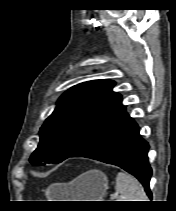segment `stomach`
Returning <instances> with one entry per match:
<instances>
[{"label":"stomach","instance_id":"1","mask_svg":"<svg viewBox=\"0 0 176 211\" xmlns=\"http://www.w3.org/2000/svg\"><path fill=\"white\" fill-rule=\"evenodd\" d=\"M108 190V178L99 170H90L67 185L55 184L50 193L69 201H103Z\"/></svg>","mask_w":176,"mask_h":211}]
</instances>
